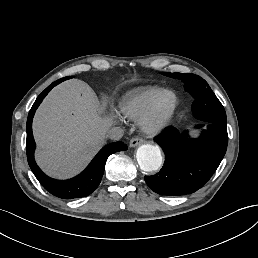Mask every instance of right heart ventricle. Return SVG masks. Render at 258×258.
I'll use <instances>...</instances> for the list:
<instances>
[{
	"label": "right heart ventricle",
	"mask_w": 258,
	"mask_h": 258,
	"mask_svg": "<svg viewBox=\"0 0 258 258\" xmlns=\"http://www.w3.org/2000/svg\"><path fill=\"white\" fill-rule=\"evenodd\" d=\"M160 91L158 86H147L124 95L119 102L121 112L130 119H138L151 107Z\"/></svg>",
	"instance_id": "e07e8e85"
}]
</instances>
